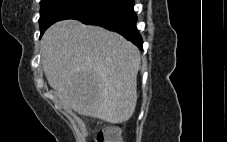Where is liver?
<instances>
[{
  "instance_id": "liver-1",
  "label": "liver",
  "mask_w": 227,
  "mask_h": 142,
  "mask_svg": "<svg viewBox=\"0 0 227 142\" xmlns=\"http://www.w3.org/2000/svg\"><path fill=\"white\" fill-rule=\"evenodd\" d=\"M43 70L65 109L112 124L129 120L137 102L138 48L121 35L77 20L49 27Z\"/></svg>"
}]
</instances>
